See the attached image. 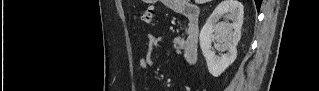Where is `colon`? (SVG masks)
I'll list each match as a JSON object with an SVG mask.
<instances>
[{
    "mask_svg": "<svg viewBox=\"0 0 319 91\" xmlns=\"http://www.w3.org/2000/svg\"><path fill=\"white\" fill-rule=\"evenodd\" d=\"M153 16H154V8L152 6H149L141 13V20L143 23L147 25H152Z\"/></svg>",
    "mask_w": 319,
    "mask_h": 91,
    "instance_id": "obj_1",
    "label": "colon"
}]
</instances>
